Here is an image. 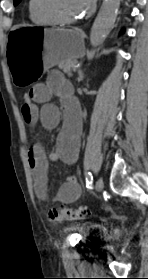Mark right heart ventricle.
<instances>
[{"label":"right heart ventricle","instance_id":"right-heart-ventricle-1","mask_svg":"<svg viewBox=\"0 0 148 279\" xmlns=\"http://www.w3.org/2000/svg\"><path fill=\"white\" fill-rule=\"evenodd\" d=\"M28 11H29V17L31 21L39 26H49L52 25L53 22L50 21L49 19L43 17L40 15L36 9H35V1L34 0H29L28 3Z\"/></svg>","mask_w":148,"mask_h":279}]
</instances>
